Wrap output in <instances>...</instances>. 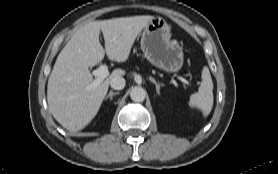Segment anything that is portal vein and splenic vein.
<instances>
[{
    "instance_id": "obj_1",
    "label": "portal vein and splenic vein",
    "mask_w": 278,
    "mask_h": 174,
    "mask_svg": "<svg viewBox=\"0 0 278 174\" xmlns=\"http://www.w3.org/2000/svg\"><path fill=\"white\" fill-rule=\"evenodd\" d=\"M93 75L96 77V79L89 85V89L96 88L106 77H108V67L106 65H101L98 69L93 71ZM178 79L186 85H191L190 82L183 77H178Z\"/></svg>"
}]
</instances>
